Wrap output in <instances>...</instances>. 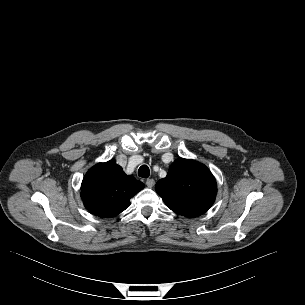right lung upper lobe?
Listing matches in <instances>:
<instances>
[{
  "label": "right lung upper lobe",
  "instance_id": "obj_1",
  "mask_svg": "<svg viewBox=\"0 0 305 305\" xmlns=\"http://www.w3.org/2000/svg\"><path fill=\"white\" fill-rule=\"evenodd\" d=\"M144 188L132 175H126L114 160L98 163L88 170L82 185L85 207L101 218L114 217L130 205V199Z\"/></svg>",
  "mask_w": 305,
  "mask_h": 305
}]
</instances>
